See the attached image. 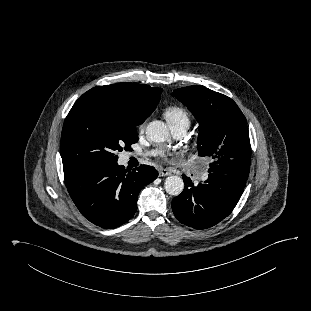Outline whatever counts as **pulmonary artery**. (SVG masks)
Here are the masks:
<instances>
[{"instance_id": "e3ab8cb5", "label": "pulmonary artery", "mask_w": 311, "mask_h": 311, "mask_svg": "<svg viewBox=\"0 0 311 311\" xmlns=\"http://www.w3.org/2000/svg\"><path fill=\"white\" fill-rule=\"evenodd\" d=\"M170 128H171V131H172L173 135L176 138H181V137H183L186 134L188 126L185 125V124H181V125L173 126V127H170ZM198 178L200 180H202V181H205L208 178V173L205 172V171L201 172V173L198 174Z\"/></svg>"}]
</instances>
